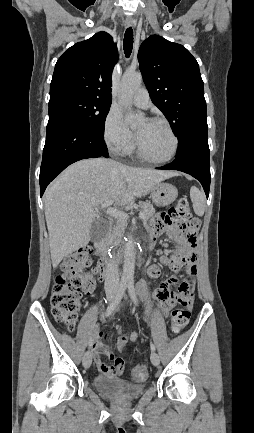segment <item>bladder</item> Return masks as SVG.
Here are the masks:
<instances>
[{"label": "bladder", "instance_id": "obj_1", "mask_svg": "<svg viewBox=\"0 0 254 433\" xmlns=\"http://www.w3.org/2000/svg\"><path fill=\"white\" fill-rule=\"evenodd\" d=\"M94 387L102 394L116 399H133L138 397L145 389L144 384L129 382L121 378H109L96 376L93 380Z\"/></svg>", "mask_w": 254, "mask_h": 433}]
</instances>
